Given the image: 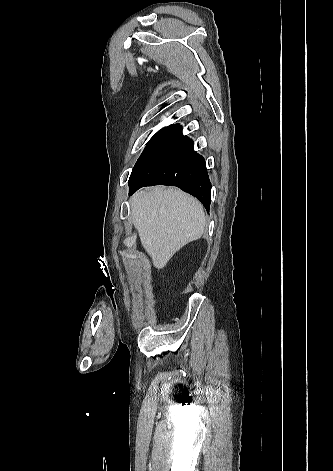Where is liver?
Instances as JSON below:
<instances>
[{"label":"liver","instance_id":"6515ba94","mask_svg":"<svg viewBox=\"0 0 333 471\" xmlns=\"http://www.w3.org/2000/svg\"><path fill=\"white\" fill-rule=\"evenodd\" d=\"M130 202L132 221L142 246L158 269L166 266L181 248L204 234L203 206L177 188L142 189Z\"/></svg>","mask_w":333,"mask_h":471}]
</instances>
